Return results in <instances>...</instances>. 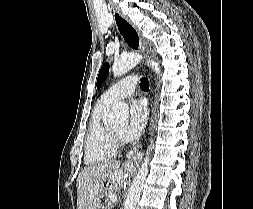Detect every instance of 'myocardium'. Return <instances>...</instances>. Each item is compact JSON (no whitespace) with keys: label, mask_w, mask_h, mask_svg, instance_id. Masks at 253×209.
Here are the masks:
<instances>
[{"label":"myocardium","mask_w":253,"mask_h":209,"mask_svg":"<svg viewBox=\"0 0 253 209\" xmlns=\"http://www.w3.org/2000/svg\"><path fill=\"white\" fill-rule=\"evenodd\" d=\"M110 130H111V134L113 136V139H114L117 147L118 146H123L124 143H123V140H122V136L120 134L116 133L112 128Z\"/></svg>","instance_id":"myocardium-1"}]
</instances>
